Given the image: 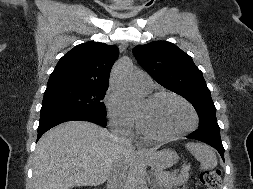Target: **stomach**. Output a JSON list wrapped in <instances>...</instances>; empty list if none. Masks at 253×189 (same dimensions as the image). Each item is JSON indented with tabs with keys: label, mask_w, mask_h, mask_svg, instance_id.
Listing matches in <instances>:
<instances>
[{
	"label": "stomach",
	"mask_w": 253,
	"mask_h": 189,
	"mask_svg": "<svg viewBox=\"0 0 253 189\" xmlns=\"http://www.w3.org/2000/svg\"><path fill=\"white\" fill-rule=\"evenodd\" d=\"M146 161L150 166L159 171L173 166L178 161V155L174 150L163 149L150 153Z\"/></svg>",
	"instance_id": "stomach-1"
}]
</instances>
